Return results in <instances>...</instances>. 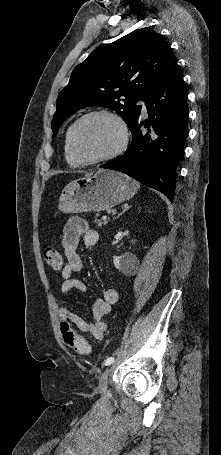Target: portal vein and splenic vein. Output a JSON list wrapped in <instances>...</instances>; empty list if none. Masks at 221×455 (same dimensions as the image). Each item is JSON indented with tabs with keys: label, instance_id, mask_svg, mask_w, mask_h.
<instances>
[{
	"label": "portal vein and splenic vein",
	"instance_id": "18ae733b",
	"mask_svg": "<svg viewBox=\"0 0 221 455\" xmlns=\"http://www.w3.org/2000/svg\"><path fill=\"white\" fill-rule=\"evenodd\" d=\"M102 219H103V220H105V222H106V220H107V217H106V216H103V217H102Z\"/></svg>",
	"mask_w": 221,
	"mask_h": 455
}]
</instances>
